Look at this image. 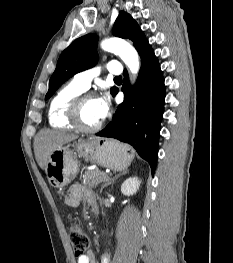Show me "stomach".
I'll return each instance as SVG.
<instances>
[{
  "label": "stomach",
  "instance_id": "obj_1",
  "mask_svg": "<svg viewBox=\"0 0 233 263\" xmlns=\"http://www.w3.org/2000/svg\"><path fill=\"white\" fill-rule=\"evenodd\" d=\"M78 157L95 162L114 171L128 168L134 158L133 150L116 140L81 138L75 145H62L50 155L46 175L51 186L63 188L77 175Z\"/></svg>",
  "mask_w": 233,
  "mask_h": 263
}]
</instances>
